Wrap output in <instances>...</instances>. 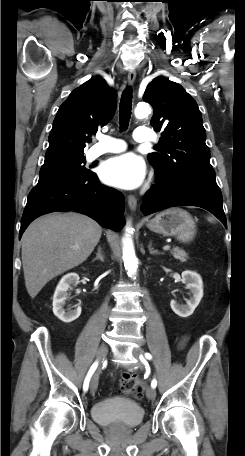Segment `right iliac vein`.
I'll use <instances>...</instances> for the list:
<instances>
[{
	"label": "right iliac vein",
	"instance_id": "obj_1",
	"mask_svg": "<svg viewBox=\"0 0 245 456\" xmlns=\"http://www.w3.org/2000/svg\"><path fill=\"white\" fill-rule=\"evenodd\" d=\"M107 352H108L107 346L105 344H102L97 352L98 362L101 363L104 360V358L107 355ZM97 387H98V373H95V375L93 376V378L91 380V384H90V391L92 394H94L96 392Z\"/></svg>",
	"mask_w": 245,
	"mask_h": 456
}]
</instances>
